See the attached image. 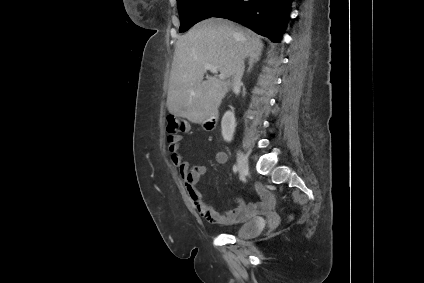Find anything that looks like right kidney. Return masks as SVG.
Listing matches in <instances>:
<instances>
[{
    "mask_svg": "<svg viewBox=\"0 0 424 283\" xmlns=\"http://www.w3.org/2000/svg\"><path fill=\"white\" fill-rule=\"evenodd\" d=\"M235 127L236 122L234 113L231 111H226L221 121L222 136L226 142H231L233 140Z\"/></svg>",
    "mask_w": 424,
    "mask_h": 283,
    "instance_id": "obj_1",
    "label": "right kidney"
}]
</instances>
